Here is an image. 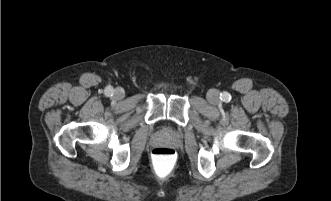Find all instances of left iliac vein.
<instances>
[{
    "mask_svg": "<svg viewBox=\"0 0 331 201\" xmlns=\"http://www.w3.org/2000/svg\"><path fill=\"white\" fill-rule=\"evenodd\" d=\"M207 99L211 104H216L219 100L218 92L216 90H210L207 93Z\"/></svg>",
    "mask_w": 331,
    "mask_h": 201,
    "instance_id": "left-iliac-vein-1",
    "label": "left iliac vein"
}]
</instances>
